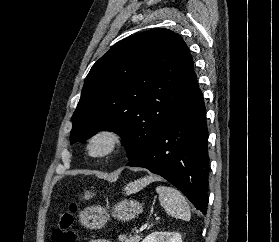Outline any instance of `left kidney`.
I'll list each match as a JSON object with an SVG mask.
<instances>
[{"mask_svg": "<svg viewBox=\"0 0 279 242\" xmlns=\"http://www.w3.org/2000/svg\"><path fill=\"white\" fill-rule=\"evenodd\" d=\"M142 242H182L178 232H154L145 237Z\"/></svg>", "mask_w": 279, "mask_h": 242, "instance_id": "5707ae66", "label": "left kidney"}]
</instances>
